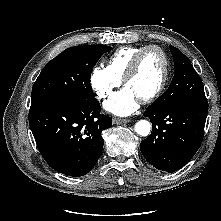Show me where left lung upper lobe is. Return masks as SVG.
<instances>
[{
	"instance_id": "left-lung-upper-lobe-1",
	"label": "left lung upper lobe",
	"mask_w": 221,
	"mask_h": 221,
	"mask_svg": "<svg viewBox=\"0 0 221 221\" xmlns=\"http://www.w3.org/2000/svg\"><path fill=\"white\" fill-rule=\"evenodd\" d=\"M174 60V77L169 88L148 108H159L180 103L207 102L203 83L189 59L177 48L170 46Z\"/></svg>"
}]
</instances>
